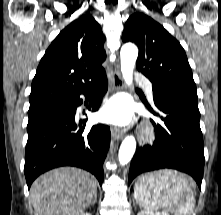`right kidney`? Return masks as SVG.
<instances>
[{"label":"right kidney","mask_w":221,"mask_h":215,"mask_svg":"<svg viewBox=\"0 0 221 215\" xmlns=\"http://www.w3.org/2000/svg\"><path fill=\"white\" fill-rule=\"evenodd\" d=\"M80 215H91V214L86 212V213H82Z\"/></svg>","instance_id":"ca27d5eb"}]
</instances>
